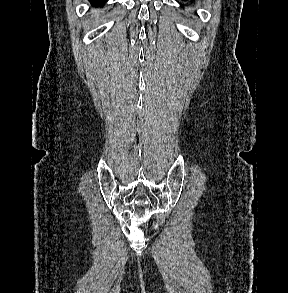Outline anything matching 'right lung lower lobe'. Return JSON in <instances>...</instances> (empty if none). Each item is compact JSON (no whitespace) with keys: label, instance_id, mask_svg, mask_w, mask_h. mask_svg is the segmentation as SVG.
Masks as SVG:
<instances>
[{"label":"right lung lower lobe","instance_id":"obj_1","mask_svg":"<svg viewBox=\"0 0 288 293\" xmlns=\"http://www.w3.org/2000/svg\"><path fill=\"white\" fill-rule=\"evenodd\" d=\"M91 2L92 5L94 6H100L101 4H103L106 0H89Z\"/></svg>","mask_w":288,"mask_h":293}]
</instances>
